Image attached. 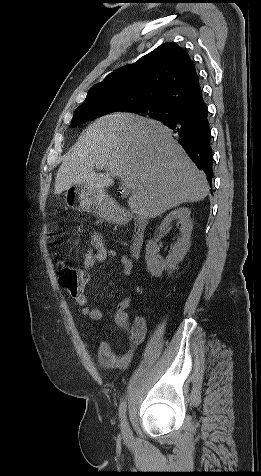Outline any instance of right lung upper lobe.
<instances>
[{"label":"right lung upper lobe","instance_id":"right-lung-upper-lobe-1","mask_svg":"<svg viewBox=\"0 0 261 476\" xmlns=\"http://www.w3.org/2000/svg\"><path fill=\"white\" fill-rule=\"evenodd\" d=\"M201 96L194 62L183 48L169 42L110 73L90 88L81 105L118 104L128 112L149 105L181 109L196 103Z\"/></svg>","mask_w":261,"mask_h":476}]
</instances>
